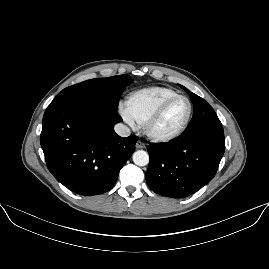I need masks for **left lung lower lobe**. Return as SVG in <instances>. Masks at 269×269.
I'll return each instance as SVG.
<instances>
[{"instance_id":"obj_1","label":"left lung lower lobe","mask_w":269,"mask_h":269,"mask_svg":"<svg viewBox=\"0 0 269 269\" xmlns=\"http://www.w3.org/2000/svg\"><path fill=\"white\" fill-rule=\"evenodd\" d=\"M146 182L155 193L187 197L215 176L225 151L221 126H209L166 143H150Z\"/></svg>"}]
</instances>
